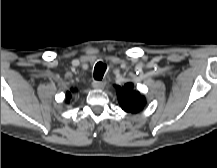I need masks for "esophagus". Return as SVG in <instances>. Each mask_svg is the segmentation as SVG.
I'll return each mask as SVG.
<instances>
[{
    "label": "esophagus",
    "instance_id": "1",
    "mask_svg": "<svg viewBox=\"0 0 217 168\" xmlns=\"http://www.w3.org/2000/svg\"><path fill=\"white\" fill-rule=\"evenodd\" d=\"M106 85L105 81H93L92 86L96 89H103Z\"/></svg>",
    "mask_w": 217,
    "mask_h": 168
}]
</instances>
